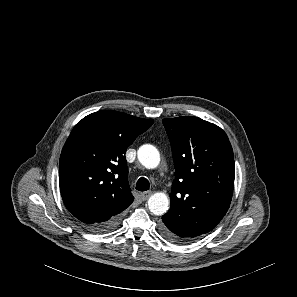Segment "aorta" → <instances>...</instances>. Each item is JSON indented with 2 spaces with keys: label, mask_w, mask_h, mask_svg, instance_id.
<instances>
[{
  "label": "aorta",
  "mask_w": 297,
  "mask_h": 297,
  "mask_svg": "<svg viewBox=\"0 0 297 297\" xmlns=\"http://www.w3.org/2000/svg\"><path fill=\"white\" fill-rule=\"evenodd\" d=\"M139 162L148 169L156 168L160 163L159 151L150 144L142 145L137 152ZM169 199L166 194L158 192L148 200V208L154 215H163L167 212Z\"/></svg>",
  "instance_id": "762f6f07"
}]
</instances>
